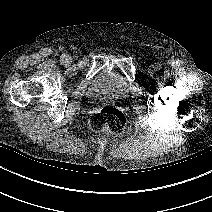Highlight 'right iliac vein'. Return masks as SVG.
Listing matches in <instances>:
<instances>
[{"instance_id": "right-iliac-vein-1", "label": "right iliac vein", "mask_w": 212, "mask_h": 212, "mask_svg": "<svg viewBox=\"0 0 212 212\" xmlns=\"http://www.w3.org/2000/svg\"><path fill=\"white\" fill-rule=\"evenodd\" d=\"M70 62H71L70 57L66 56L65 59H64V63L70 64Z\"/></svg>"}]
</instances>
